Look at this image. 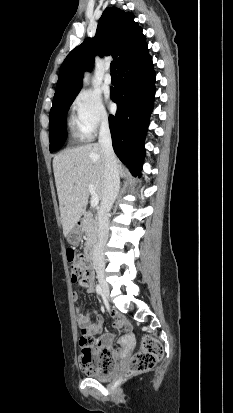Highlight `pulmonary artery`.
Returning <instances> with one entry per match:
<instances>
[{
    "instance_id": "1",
    "label": "pulmonary artery",
    "mask_w": 233,
    "mask_h": 413,
    "mask_svg": "<svg viewBox=\"0 0 233 413\" xmlns=\"http://www.w3.org/2000/svg\"><path fill=\"white\" fill-rule=\"evenodd\" d=\"M106 70H107V72L104 75V82L106 84H111L112 83V77H111L110 73L108 72V67H107Z\"/></svg>"
}]
</instances>
